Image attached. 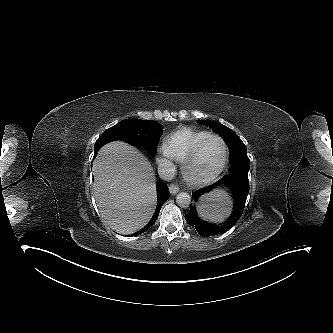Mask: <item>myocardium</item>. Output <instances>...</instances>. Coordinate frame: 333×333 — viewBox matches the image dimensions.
Returning a JSON list of instances; mask_svg holds the SVG:
<instances>
[{"instance_id": "myocardium-1", "label": "myocardium", "mask_w": 333, "mask_h": 333, "mask_svg": "<svg viewBox=\"0 0 333 333\" xmlns=\"http://www.w3.org/2000/svg\"><path fill=\"white\" fill-rule=\"evenodd\" d=\"M211 139H217L223 144V147H224L223 160H222L220 166L211 175H209L207 177H202V178L196 177L190 172V165L198 157L203 146ZM228 159H229V148H228L226 141L219 135L210 134V135L206 136L205 138H203L201 141H199L193 147V149L190 151V153L187 155V157L184 159V161L182 162V174H183L184 178L186 179V181L189 182L191 185H194V186L206 185V184L213 182L220 176V174L224 171V169L227 165Z\"/></svg>"}]
</instances>
